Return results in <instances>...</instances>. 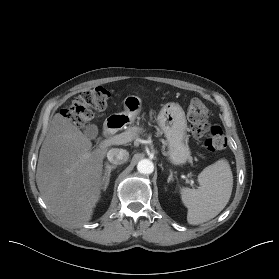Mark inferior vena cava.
Segmentation results:
<instances>
[{
	"mask_svg": "<svg viewBox=\"0 0 279 279\" xmlns=\"http://www.w3.org/2000/svg\"><path fill=\"white\" fill-rule=\"evenodd\" d=\"M107 158L115 165L123 164L128 160L129 152L125 149L112 148L107 152Z\"/></svg>",
	"mask_w": 279,
	"mask_h": 279,
	"instance_id": "602c4592",
	"label": "inferior vena cava"
}]
</instances>
